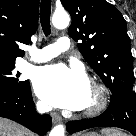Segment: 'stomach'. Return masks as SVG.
I'll use <instances>...</instances> for the list:
<instances>
[{
    "mask_svg": "<svg viewBox=\"0 0 136 136\" xmlns=\"http://www.w3.org/2000/svg\"><path fill=\"white\" fill-rule=\"evenodd\" d=\"M83 136H99V135L96 134V133H88V134H85V135H83Z\"/></svg>",
    "mask_w": 136,
    "mask_h": 136,
    "instance_id": "stomach-1",
    "label": "stomach"
}]
</instances>
